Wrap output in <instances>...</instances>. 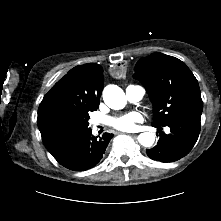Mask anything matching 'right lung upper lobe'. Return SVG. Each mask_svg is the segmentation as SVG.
Returning <instances> with one entry per match:
<instances>
[{
	"label": "right lung upper lobe",
	"mask_w": 221,
	"mask_h": 221,
	"mask_svg": "<svg viewBox=\"0 0 221 221\" xmlns=\"http://www.w3.org/2000/svg\"><path fill=\"white\" fill-rule=\"evenodd\" d=\"M103 70L96 63L71 69L44 96L38 109V127L47 147L46 125L51 118L67 114L82 115L99 107L103 89ZM48 151H53L48 149Z\"/></svg>",
	"instance_id": "obj_1"
}]
</instances>
